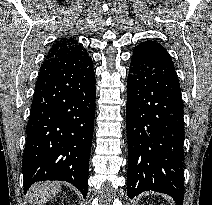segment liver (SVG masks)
I'll return each instance as SVG.
<instances>
[{
    "instance_id": "6515ba94",
    "label": "liver",
    "mask_w": 212,
    "mask_h": 205,
    "mask_svg": "<svg viewBox=\"0 0 212 205\" xmlns=\"http://www.w3.org/2000/svg\"><path fill=\"white\" fill-rule=\"evenodd\" d=\"M61 188L57 182H40L31 186L28 192V199L31 205H44L54 198Z\"/></svg>"
}]
</instances>
